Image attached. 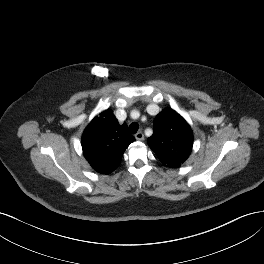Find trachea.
Instances as JSON below:
<instances>
[{"mask_svg":"<svg viewBox=\"0 0 264 264\" xmlns=\"http://www.w3.org/2000/svg\"><path fill=\"white\" fill-rule=\"evenodd\" d=\"M128 130L131 134H135L138 131L137 123H131Z\"/></svg>","mask_w":264,"mask_h":264,"instance_id":"trachea-1","label":"trachea"}]
</instances>
